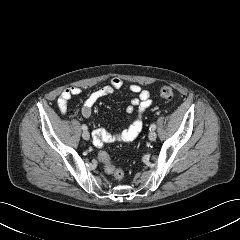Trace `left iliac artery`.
I'll return each instance as SVG.
<instances>
[{
  "label": "left iliac artery",
  "mask_w": 240,
  "mask_h": 240,
  "mask_svg": "<svg viewBox=\"0 0 240 240\" xmlns=\"http://www.w3.org/2000/svg\"><path fill=\"white\" fill-rule=\"evenodd\" d=\"M156 129V125L155 124H151V126H150V131H154Z\"/></svg>",
  "instance_id": "1"
}]
</instances>
